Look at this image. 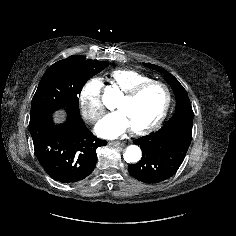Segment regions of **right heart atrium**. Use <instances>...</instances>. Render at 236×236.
Instances as JSON below:
<instances>
[{
    "label": "right heart atrium",
    "instance_id": "1",
    "mask_svg": "<svg viewBox=\"0 0 236 236\" xmlns=\"http://www.w3.org/2000/svg\"><path fill=\"white\" fill-rule=\"evenodd\" d=\"M103 83L99 78L88 80L79 94L80 111L90 124L97 122L105 112L102 101Z\"/></svg>",
    "mask_w": 236,
    "mask_h": 236
}]
</instances>
